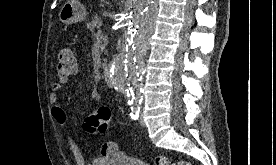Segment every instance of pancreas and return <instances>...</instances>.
<instances>
[{
    "label": "pancreas",
    "mask_w": 276,
    "mask_h": 165,
    "mask_svg": "<svg viewBox=\"0 0 276 165\" xmlns=\"http://www.w3.org/2000/svg\"><path fill=\"white\" fill-rule=\"evenodd\" d=\"M103 25V21L100 17L95 16L87 23V28L91 33H94L95 29H100Z\"/></svg>",
    "instance_id": "1"
}]
</instances>
